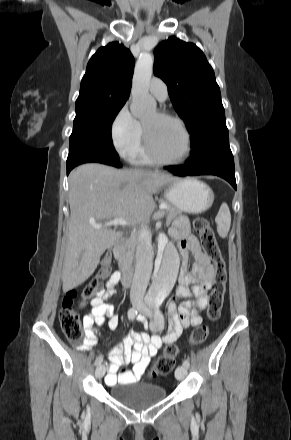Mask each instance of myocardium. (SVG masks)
<instances>
[{"mask_svg": "<svg viewBox=\"0 0 291 440\" xmlns=\"http://www.w3.org/2000/svg\"><path fill=\"white\" fill-rule=\"evenodd\" d=\"M158 115H160L163 118H167L170 120H173L174 122H176L180 128L182 129L184 135H185V139H186V152L184 154V156L176 161H168L163 159L159 153L155 150V148L153 147L149 134L147 132V129L145 127V125L142 123V127H143V138H144V143H145V149L148 153V155L150 156V158L152 160H154L156 163L161 164V165H165V166H177L180 164H183L191 155L192 153V139H191V134L190 131L188 130L185 122L177 115L169 113L167 111L164 110H159L157 111Z\"/></svg>", "mask_w": 291, "mask_h": 440, "instance_id": "f54148a6", "label": "myocardium"}]
</instances>
